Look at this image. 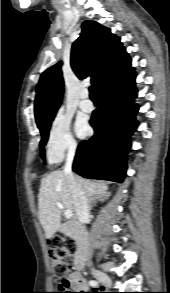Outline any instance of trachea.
Segmentation results:
<instances>
[{
  "instance_id": "trachea-1",
  "label": "trachea",
  "mask_w": 170,
  "mask_h": 293,
  "mask_svg": "<svg viewBox=\"0 0 170 293\" xmlns=\"http://www.w3.org/2000/svg\"><path fill=\"white\" fill-rule=\"evenodd\" d=\"M90 98H96V92L94 86L89 87Z\"/></svg>"
}]
</instances>
